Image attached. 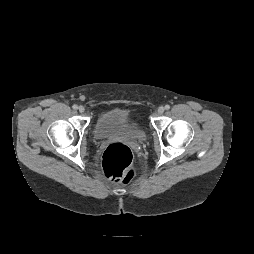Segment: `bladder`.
Instances as JSON below:
<instances>
[{
  "label": "bladder",
  "mask_w": 254,
  "mask_h": 254,
  "mask_svg": "<svg viewBox=\"0 0 254 254\" xmlns=\"http://www.w3.org/2000/svg\"><path fill=\"white\" fill-rule=\"evenodd\" d=\"M94 136L99 140L112 137L142 140L145 138V132L131 119L129 111L112 108L101 113L96 119Z\"/></svg>",
  "instance_id": "31cf9c89"
}]
</instances>
